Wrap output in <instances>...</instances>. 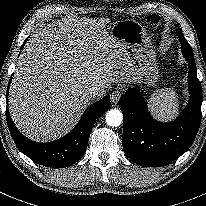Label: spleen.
Returning a JSON list of instances; mask_svg holds the SVG:
<instances>
[{
	"label": "spleen",
	"instance_id": "spleen-1",
	"mask_svg": "<svg viewBox=\"0 0 206 206\" xmlns=\"http://www.w3.org/2000/svg\"><path fill=\"white\" fill-rule=\"evenodd\" d=\"M149 101L151 111L158 119L169 120L178 114L179 102L175 91L171 88L155 91Z\"/></svg>",
	"mask_w": 206,
	"mask_h": 206
}]
</instances>
